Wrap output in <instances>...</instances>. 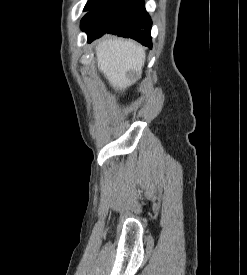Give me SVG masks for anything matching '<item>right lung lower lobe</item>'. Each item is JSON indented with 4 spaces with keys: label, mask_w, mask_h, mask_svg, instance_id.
I'll return each mask as SVG.
<instances>
[{
    "label": "right lung lower lobe",
    "mask_w": 247,
    "mask_h": 275,
    "mask_svg": "<svg viewBox=\"0 0 247 275\" xmlns=\"http://www.w3.org/2000/svg\"><path fill=\"white\" fill-rule=\"evenodd\" d=\"M151 26L143 0H107L88 12L81 21L88 42L110 33L133 38L150 48Z\"/></svg>",
    "instance_id": "right-lung-lower-lobe-1"
}]
</instances>
